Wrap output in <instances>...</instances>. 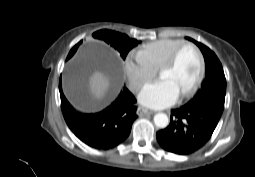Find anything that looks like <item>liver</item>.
<instances>
[{
	"label": "liver",
	"mask_w": 255,
	"mask_h": 177,
	"mask_svg": "<svg viewBox=\"0 0 255 177\" xmlns=\"http://www.w3.org/2000/svg\"><path fill=\"white\" fill-rule=\"evenodd\" d=\"M109 88V76L101 71H95L88 78L87 98L91 101H99L105 97Z\"/></svg>",
	"instance_id": "obj_1"
}]
</instances>
